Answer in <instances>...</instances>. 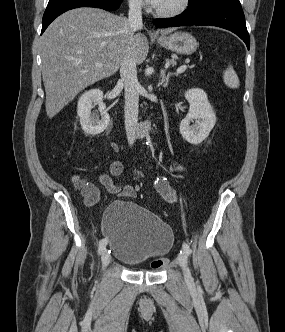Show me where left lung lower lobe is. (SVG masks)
<instances>
[{
	"label": "left lung lower lobe",
	"instance_id": "1",
	"mask_svg": "<svg viewBox=\"0 0 285 332\" xmlns=\"http://www.w3.org/2000/svg\"><path fill=\"white\" fill-rule=\"evenodd\" d=\"M158 28L212 25L232 31L250 48V38L246 28L245 16L239 0H212L187 9L181 15L170 19H157Z\"/></svg>",
	"mask_w": 285,
	"mask_h": 332
}]
</instances>
